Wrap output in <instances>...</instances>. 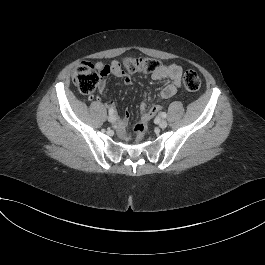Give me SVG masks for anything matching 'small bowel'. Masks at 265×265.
<instances>
[{
    "label": "small bowel",
    "instance_id": "obj_1",
    "mask_svg": "<svg viewBox=\"0 0 265 265\" xmlns=\"http://www.w3.org/2000/svg\"><path fill=\"white\" fill-rule=\"evenodd\" d=\"M96 69L100 73L99 80V92L104 94L107 89V79L110 75H113L118 78H122L124 83L127 85H131L133 83L132 77L124 72L122 66L117 61H112L110 64H105L103 62L96 63ZM182 68L177 64H168L161 66L157 71L152 73V78L154 80H169V84H167L159 93L160 99H168L173 97L181 87V77H182ZM99 99L98 96L91 95L89 96V101L94 99ZM106 106L109 110H113V113L116 112V105L113 101L106 102ZM141 110L145 109V101L143 100L140 105ZM129 121V113L126 112L123 117L117 119V126L120 129H124Z\"/></svg>",
    "mask_w": 265,
    "mask_h": 265
}]
</instances>
